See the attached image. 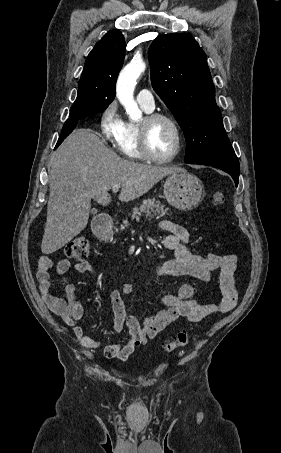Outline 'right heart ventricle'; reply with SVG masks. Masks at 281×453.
<instances>
[{"label":"right heart ventricle","instance_id":"obj_1","mask_svg":"<svg viewBox=\"0 0 281 453\" xmlns=\"http://www.w3.org/2000/svg\"><path fill=\"white\" fill-rule=\"evenodd\" d=\"M140 108L150 114L153 112V109H148L142 103H139ZM140 124L134 122L133 120H126L123 121L122 130L120 132L119 137L115 141V147L118 153L125 157L132 160H140L142 158V154L140 152Z\"/></svg>","mask_w":281,"mask_h":453}]
</instances>
